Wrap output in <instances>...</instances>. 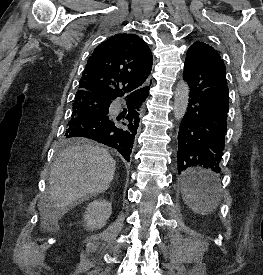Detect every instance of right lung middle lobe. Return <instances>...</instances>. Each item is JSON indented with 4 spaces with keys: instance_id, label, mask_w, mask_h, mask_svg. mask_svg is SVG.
Wrapping results in <instances>:
<instances>
[{
    "instance_id": "right-lung-middle-lobe-1",
    "label": "right lung middle lobe",
    "mask_w": 263,
    "mask_h": 275,
    "mask_svg": "<svg viewBox=\"0 0 263 275\" xmlns=\"http://www.w3.org/2000/svg\"><path fill=\"white\" fill-rule=\"evenodd\" d=\"M110 104L111 101L93 94L77 95L73 103V112L69 123L85 115L106 114L109 112ZM75 143H77V140L74 137L64 135L61 139V145Z\"/></svg>"
}]
</instances>
